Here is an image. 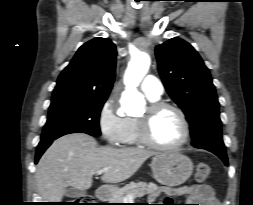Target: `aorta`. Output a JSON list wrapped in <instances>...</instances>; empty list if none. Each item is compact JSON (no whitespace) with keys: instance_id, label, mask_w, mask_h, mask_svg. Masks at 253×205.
<instances>
[{"instance_id":"762f6f07","label":"aorta","mask_w":253,"mask_h":205,"mask_svg":"<svg viewBox=\"0 0 253 205\" xmlns=\"http://www.w3.org/2000/svg\"><path fill=\"white\" fill-rule=\"evenodd\" d=\"M149 66L150 56L145 51L136 50L132 54L124 79L126 91L123 107L127 113L137 112L144 104L143 95L136 88L147 73Z\"/></svg>"}]
</instances>
